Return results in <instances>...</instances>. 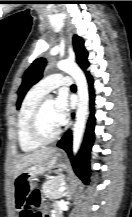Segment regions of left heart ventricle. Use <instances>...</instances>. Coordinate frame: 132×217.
I'll list each match as a JSON object with an SVG mask.
<instances>
[{
	"label": "left heart ventricle",
	"mask_w": 132,
	"mask_h": 217,
	"mask_svg": "<svg viewBox=\"0 0 132 217\" xmlns=\"http://www.w3.org/2000/svg\"><path fill=\"white\" fill-rule=\"evenodd\" d=\"M59 126L55 122L54 118V101L52 99L48 100L46 103L42 117H41V129L46 136L53 135Z\"/></svg>",
	"instance_id": "b2bd125f"
}]
</instances>
